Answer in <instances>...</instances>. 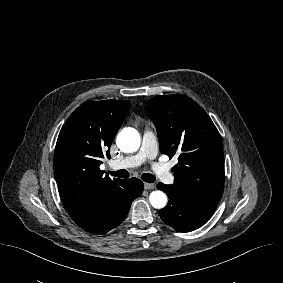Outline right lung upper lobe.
I'll list each match as a JSON object with an SVG mask.
<instances>
[{"label": "right lung upper lobe", "instance_id": "right-lung-upper-lobe-1", "mask_svg": "<svg viewBox=\"0 0 283 283\" xmlns=\"http://www.w3.org/2000/svg\"><path fill=\"white\" fill-rule=\"evenodd\" d=\"M127 100L86 101L63 125L55 147V170L63 203L76 224L90 218L124 180L99 166L126 118Z\"/></svg>", "mask_w": 283, "mask_h": 283}]
</instances>
